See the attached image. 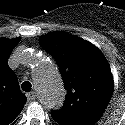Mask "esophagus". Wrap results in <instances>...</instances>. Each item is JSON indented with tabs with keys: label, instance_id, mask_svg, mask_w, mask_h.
<instances>
[{
	"label": "esophagus",
	"instance_id": "34e87169",
	"mask_svg": "<svg viewBox=\"0 0 125 125\" xmlns=\"http://www.w3.org/2000/svg\"><path fill=\"white\" fill-rule=\"evenodd\" d=\"M28 100H34L36 98V93L34 91L26 94Z\"/></svg>",
	"mask_w": 125,
	"mask_h": 125
}]
</instances>
